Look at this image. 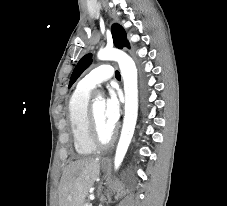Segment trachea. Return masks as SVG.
I'll use <instances>...</instances> for the list:
<instances>
[{"label":"trachea","instance_id":"obj_1","mask_svg":"<svg viewBox=\"0 0 227 206\" xmlns=\"http://www.w3.org/2000/svg\"><path fill=\"white\" fill-rule=\"evenodd\" d=\"M115 76H116L117 79L121 78V75H120L119 71H116Z\"/></svg>","mask_w":227,"mask_h":206}]
</instances>
